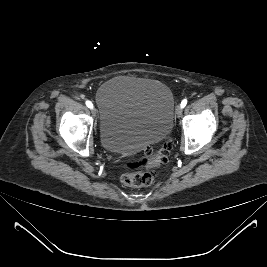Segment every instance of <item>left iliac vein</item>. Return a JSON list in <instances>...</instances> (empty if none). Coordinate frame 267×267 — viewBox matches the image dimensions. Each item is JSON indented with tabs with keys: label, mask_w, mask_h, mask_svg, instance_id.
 Wrapping results in <instances>:
<instances>
[{
	"label": "left iliac vein",
	"mask_w": 267,
	"mask_h": 267,
	"mask_svg": "<svg viewBox=\"0 0 267 267\" xmlns=\"http://www.w3.org/2000/svg\"><path fill=\"white\" fill-rule=\"evenodd\" d=\"M181 115H182V107H181V105H178L176 107V116L179 118V117H181Z\"/></svg>",
	"instance_id": "4c4485c4"
}]
</instances>
